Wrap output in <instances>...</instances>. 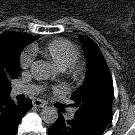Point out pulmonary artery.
Listing matches in <instances>:
<instances>
[{
  "instance_id": "pulmonary-artery-1",
  "label": "pulmonary artery",
  "mask_w": 135,
  "mask_h": 135,
  "mask_svg": "<svg viewBox=\"0 0 135 135\" xmlns=\"http://www.w3.org/2000/svg\"><path fill=\"white\" fill-rule=\"evenodd\" d=\"M40 90H41L40 87L35 85L17 86L12 89L11 95L12 96H16L19 94L35 95L38 94ZM69 118H72V115H70Z\"/></svg>"
}]
</instances>
